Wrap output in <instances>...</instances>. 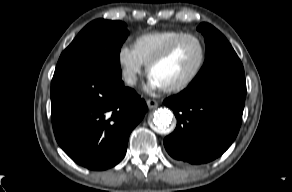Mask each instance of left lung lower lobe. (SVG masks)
<instances>
[{
	"mask_svg": "<svg viewBox=\"0 0 292 192\" xmlns=\"http://www.w3.org/2000/svg\"><path fill=\"white\" fill-rule=\"evenodd\" d=\"M246 96L245 77H222L189 85L164 100L177 126L164 139L174 159L207 163L221 156L235 140Z\"/></svg>",
	"mask_w": 292,
	"mask_h": 192,
	"instance_id": "left-lung-lower-lobe-1",
	"label": "left lung lower lobe"
}]
</instances>
